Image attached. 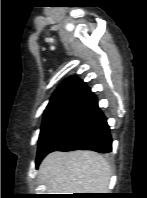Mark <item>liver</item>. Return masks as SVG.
Returning <instances> with one entry per match:
<instances>
[{"label":"liver","instance_id":"1","mask_svg":"<svg viewBox=\"0 0 147 198\" xmlns=\"http://www.w3.org/2000/svg\"><path fill=\"white\" fill-rule=\"evenodd\" d=\"M38 175L49 194L107 193L111 167L93 151L52 152L41 162Z\"/></svg>","mask_w":147,"mask_h":198}]
</instances>
